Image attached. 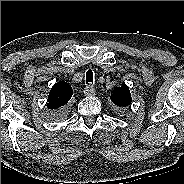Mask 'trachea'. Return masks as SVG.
I'll list each match as a JSON object with an SVG mask.
<instances>
[{
    "instance_id": "3493384b",
    "label": "trachea",
    "mask_w": 184,
    "mask_h": 184,
    "mask_svg": "<svg viewBox=\"0 0 184 184\" xmlns=\"http://www.w3.org/2000/svg\"><path fill=\"white\" fill-rule=\"evenodd\" d=\"M86 83H93V72H92V70H88L86 72Z\"/></svg>"
}]
</instances>
